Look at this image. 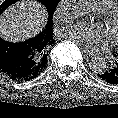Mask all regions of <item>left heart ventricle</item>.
I'll use <instances>...</instances> for the list:
<instances>
[{
	"label": "left heart ventricle",
	"instance_id": "b2bd125f",
	"mask_svg": "<svg viewBox=\"0 0 118 118\" xmlns=\"http://www.w3.org/2000/svg\"><path fill=\"white\" fill-rule=\"evenodd\" d=\"M107 28L110 31L113 39L118 37V20L112 25H107Z\"/></svg>",
	"mask_w": 118,
	"mask_h": 118
}]
</instances>
